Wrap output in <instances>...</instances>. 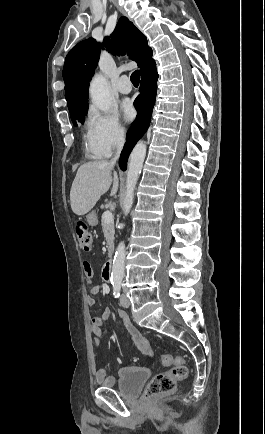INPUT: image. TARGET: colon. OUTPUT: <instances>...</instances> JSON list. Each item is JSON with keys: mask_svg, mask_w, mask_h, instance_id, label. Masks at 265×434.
Wrapping results in <instances>:
<instances>
[{"mask_svg": "<svg viewBox=\"0 0 265 434\" xmlns=\"http://www.w3.org/2000/svg\"><path fill=\"white\" fill-rule=\"evenodd\" d=\"M82 252L90 254L94 250V238L89 227L84 222H76L74 226ZM85 273L88 277L93 274V268L85 263ZM163 365H173L170 371L155 374L146 386L147 395L169 393L175 390L179 382L184 381L188 375V369L179 356L166 355L161 357Z\"/></svg>", "mask_w": 265, "mask_h": 434, "instance_id": "colon-1", "label": "colon"}]
</instances>
